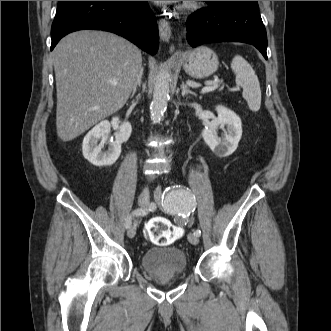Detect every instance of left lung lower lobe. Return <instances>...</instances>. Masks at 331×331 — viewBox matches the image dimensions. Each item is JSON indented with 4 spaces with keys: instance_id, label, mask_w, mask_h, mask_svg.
<instances>
[{
    "instance_id": "1",
    "label": "left lung lower lobe",
    "mask_w": 331,
    "mask_h": 331,
    "mask_svg": "<svg viewBox=\"0 0 331 331\" xmlns=\"http://www.w3.org/2000/svg\"><path fill=\"white\" fill-rule=\"evenodd\" d=\"M208 7L186 22L185 41L192 47L214 42L254 45L267 59V36L257 1H206Z\"/></svg>"
}]
</instances>
